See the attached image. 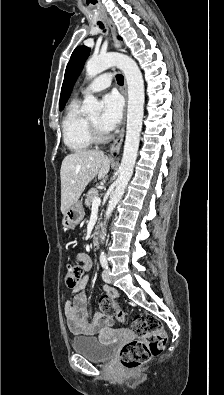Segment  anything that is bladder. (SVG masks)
<instances>
[{
    "mask_svg": "<svg viewBox=\"0 0 224 395\" xmlns=\"http://www.w3.org/2000/svg\"><path fill=\"white\" fill-rule=\"evenodd\" d=\"M75 353L92 362H106L114 355L113 341L103 342L100 337L78 336L71 341Z\"/></svg>",
    "mask_w": 224,
    "mask_h": 395,
    "instance_id": "31cf9c89",
    "label": "bladder"
}]
</instances>
